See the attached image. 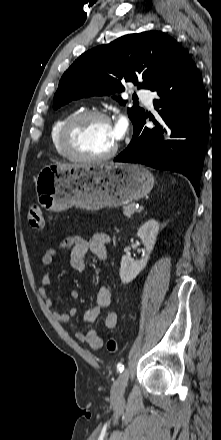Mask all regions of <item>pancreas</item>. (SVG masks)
I'll list each match as a JSON object with an SVG mask.
<instances>
[{"instance_id":"obj_1","label":"pancreas","mask_w":221,"mask_h":440,"mask_svg":"<svg viewBox=\"0 0 221 440\" xmlns=\"http://www.w3.org/2000/svg\"><path fill=\"white\" fill-rule=\"evenodd\" d=\"M137 211L135 204L131 203L123 207V214L126 217H131Z\"/></svg>"}]
</instances>
